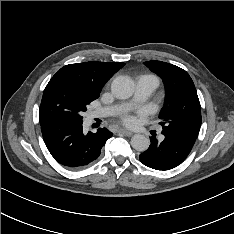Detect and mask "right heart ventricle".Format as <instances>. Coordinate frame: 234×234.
<instances>
[{
	"mask_svg": "<svg viewBox=\"0 0 234 234\" xmlns=\"http://www.w3.org/2000/svg\"><path fill=\"white\" fill-rule=\"evenodd\" d=\"M147 76L152 77V78L156 81V83H157V85H158V79H157L155 76H153V75H147Z\"/></svg>",
	"mask_w": 234,
	"mask_h": 234,
	"instance_id": "right-heart-ventricle-1",
	"label": "right heart ventricle"
}]
</instances>
